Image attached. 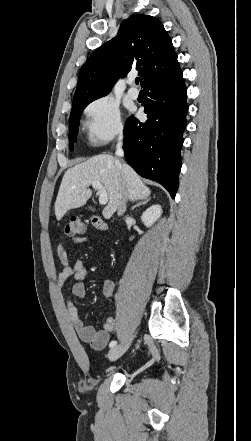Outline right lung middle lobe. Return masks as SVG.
Wrapping results in <instances>:
<instances>
[{"mask_svg": "<svg viewBox=\"0 0 251 441\" xmlns=\"http://www.w3.org/2000/svg\"><path fill=\"white\" fill-rule=\"evenodd\" d=\"M95 99H97V98H83V99L73 101V107H72V110L70 113V119H69V129H70V133H69L70 144H69V146H70L71 150L74 148L73 142L76 140V136H77L78 129H79V122H80L81 114H82L83 110L85 109V107L89 103L94 101Z\"/></svg>", "mask_w": 251, "mask_h": 441, "instance_id": "obj_1", "label": "right lung middle lobe"}]
</instances>
